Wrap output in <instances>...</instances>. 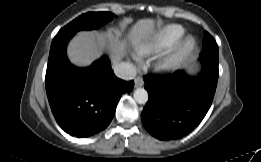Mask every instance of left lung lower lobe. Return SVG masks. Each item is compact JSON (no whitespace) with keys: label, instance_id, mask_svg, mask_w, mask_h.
Masks as SVG:
<instances>
[{"label":"left lung lower lobe","instance_id":"left-lung-lower-lobe-1","mask_svg":"<svg viewBox=\"0 0 261 162\" xmlns=\"http://www.w3.org/2000/svg\"><path fill=\"white\" fill-rule=\"evenodd\" d=\"M200 60L202 71L195 77L183 71L162 77H144L149 99L141 119L153 137L159 140L182 138L207 114L219 76L218 50L203 48Z\"/></svg>","mask_w":261,"mask_h":162}]
</instances>
